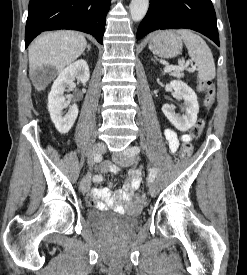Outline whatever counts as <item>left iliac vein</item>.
Returning a JSON list of instances; mask_svg holds the SVG:
<instances>
[{
    "label": "left iliac vein",
    "instance_id": "left-iliac-vein-1",
    "mask_svg": "<svg viewBox=\"0 0 247 275\" xmlns=\"http://www.w3.org/2000/svg\"><path fill=\"white\" fill-rule=\"evenodd\" d=\"M134 147L126 148L122 153L115 154L113 156L114 161L120 166H130L137 159L135 153H132ZM158 192V186L155 182H152L149 187V194L155 196Z\"/></svg>",
    "mask_w": 247,
    "mask_h": 275
}]
</instances>
